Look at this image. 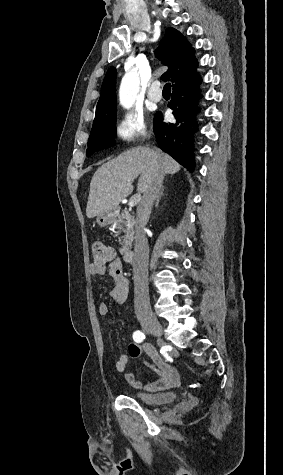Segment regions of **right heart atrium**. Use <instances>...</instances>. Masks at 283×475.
Instances as JSON below:
<instances>
[{
    "label": "right heart atrium",
    "mask_w": 283,
    "mask_h": 475,
    "mask_svg": "<svg viewBox=\"0 0 283 475\" xmlns=\"http://www.w3.org/2000/svg\"><path fill=\"white\" fill-rule=\"evenodd\" d=\"M113 133L126 146L130 147L129 151H137L141 149L136 146L137 142L150 133V128L141 114L128 112L115 123Z\"/></svg>",
    "instance_id": "obj_1"
}]
</instances>
